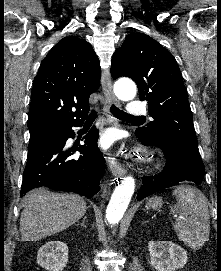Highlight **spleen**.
I'll list each match as a JSON object with an SVG mask.
<instances>
[{"label":"spleen","instance_id":"1","mask_svg":"<svg viewBox=\"0 0 221 271\" xmlns=\"http://www.w3.org/2000/svg\"><path fill=\"white\" fill-rule=\"evenodd\" d=\"M177 203L170 205L172 215H177L174 229L180 241L190 249H201L209 241L210 217L205 197L195 187H176L173 191Z\"/></svg>","mask_w":221,"mask_h":271}]
</instances>
